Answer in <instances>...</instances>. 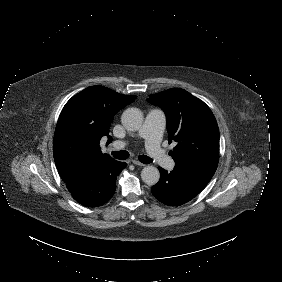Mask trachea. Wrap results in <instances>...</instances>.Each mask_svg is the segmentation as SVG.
Instances as JSON below:
<instances>
[{
	"mask_svg": "<svg viewBox=\"0 0 282 282\" xmlns=\"http://www.w3.org/2000/svg\"><path fill=\"white\" fill-rule=\"evenodd\" d=\"M112 156L116 159L119 160H126L129 156L128 152L121 150V151H114L112 152ZM139 160L140 162L144 163V164H150L154 161V159L146 156V155H141L139 156Z\"/></svg>",
	"mask_w": 282,
	"mask_h": 282,
	"instance_id": "obj_1",
	"label": "trachea"
}]
</instances>
